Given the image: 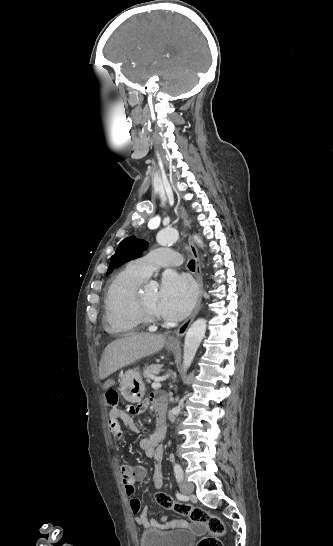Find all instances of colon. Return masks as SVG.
I'll list each match as a JSON object with an SVG mask.
<instances>
[{
  "mask_svg": "<svg viewBox=\"0 0 333 546\" xmlns=\"http://www.w3.org/2000/svg\"><path fill=\"white\" fill-rule=\"evenodd\" d=\"M106 399L110 407L116 408L119 403L118 392L115 390L107 391ZM155 501L159 507L165 510H172L186 515L192 522L207 526L209 535L203 538L198 546H223L220 539L224 535L225 527L219 516L211 514L201 507L175 501L172 496L164 492L156 493Z\"/></svg>",
  "mask_w": 333,
  "mask_h": 546,
  "instance_id": "1",
  "label": "colon"
}]
</instances>
